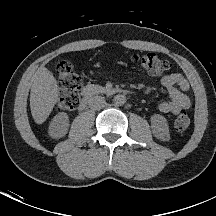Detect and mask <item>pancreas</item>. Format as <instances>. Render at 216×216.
Instances as JSON below:
<instances>
[{
  "label": "pancreas",
  "instance_id": "pancreas-1",
  "mask_svg": "<svg viewBox=\"0 0 216 216\" xmlns=\"http://www.w3.org/2000/svg\"><path fill=\"white\" fill-rule=\"evenodd\" d=\"M93 89L95 93H105L106 92V88L99 86V85L93 86Z\"/></svg>",
  "mask_w": 216,
  "mask_h": 216
}]
</instances>
